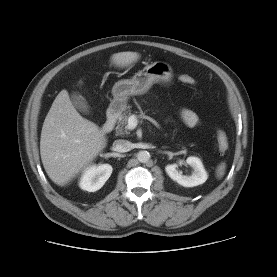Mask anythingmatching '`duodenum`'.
Instances as JSON below:
<instances>
[{
  "instance_id": "410a0bca",
  "label": "duodenum",
  "mask_w": 277,
  "mask_h": 277,
  "mask_svg": "<svg viewBox=\"0 0 277 277\" xmlns=\"http://www.w3.org/2000/svg\"><path fill=\"white\" fill-rule=\"evenodd\" d=\"M120 113H121L120 107L117 103L113 104L109 108L107 119L102 127V132L104 134L110 133L114 129V126L120 116Z\"/></svg>"
}]
</instances>
